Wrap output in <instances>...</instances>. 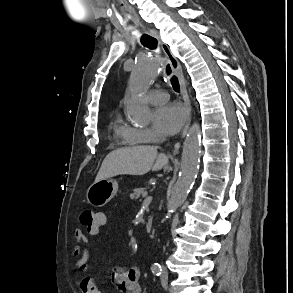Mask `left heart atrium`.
<instances>
[{
	"mask_svg": "<svg viewBox=\"0 0 293 293\" xmlns=\"http://www.w3.org/2000/svg\"><path fill=\"white\" fill-rule=\"evenodd\" d=\"M186 111L179 103H169L157 108L154 112V125L162 135H173L182 126Z\"/></svg>",
	"mask_w": 293,
	"mask_h": 293,
	"instance_id": "1",
	"label": "left heart atrium"
}]
</instances>
